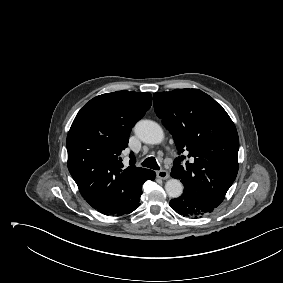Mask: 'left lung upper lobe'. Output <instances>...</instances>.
I'll return each mask as SVG.
<instances>
[{
	"label": "left lung upper lobe",
	"instance_id": "1",
	"mask_svg": "<svg viewBox=\"0 0 283 283\" xmlns=\"http://www.w3.org/2000/svg\"><path fill=\"white\" fill-rule=\"evenodd\" d=\"M154 110L172 134L178 153L171 176L219 206L238 173L239 138L223 107L198 89L154 93Z\"/></svg>",
	"mask_w": 283,
	"mask_h": 283
}]
</instances>
